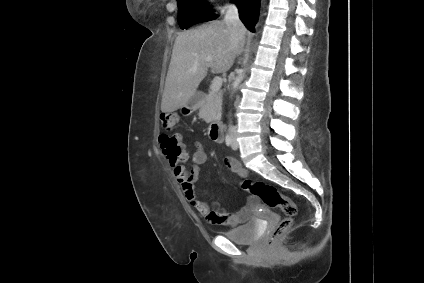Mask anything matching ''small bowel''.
Wrapping results in <instances>:
<instances>
[{
  "label": "small bowel",
  "mask_w": 424,
  "mask_h": 283,
  "mask_svg": "<svg viewBox=\"0 0 424 283\" xmlns=\"http://www.w3.org/2000/svg\"><path fill=\"white\" fill-rule=\"evenodd\" d=\"M187 160V154L186 158ZM207 160V154L201 143H194V152L191 158V165L187 168L184 165L173 167V175L181 187L186 200L205 218L214 224L237 225L244 222L249 214V207L242 208L240 211L226 217H219L211 212L208 204L198 199L195 192V185L199 179L202 165ZM225 165L240 176H247L248 172L241 164L231 156L224 157Z\"/></svg>",
  "instance_id": "1"
}]
</instances>
